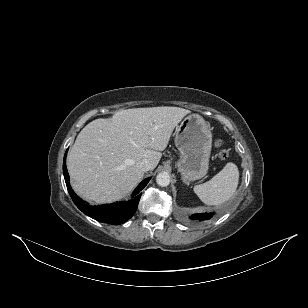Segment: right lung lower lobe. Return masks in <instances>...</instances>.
Segmentation results:
<instances>
[{"mask_svg":"<svg viewBox=\"0 0 308 308\" xmlns=\"http://www.w3.org/2000/svg\"><path fill=\"white\" fill-rule=\"evenodd\" d=\"M66 156L67 152L64 155L63 160V174L66 182V186L68 189V192L70 193V196L75 203V205L86 215L104 223L118 225L121 224L128 219H130L134 213L136 212V209L138 207V203L140 200L141 194L139 192L147 185L150 178L145 179L140 183V185L137 187V189L134 191L132 196H135V198L132 201L129 202H117L113 204H105V205H98V206H90L88 204H85L80 197H78L69 184V174L66 167Z\"/></svg>","mask_w":308,"mask_h":308,"instance_id":"right-lung-lower-lobe-1","label":"right lung lower lobe"}]
</instances>
